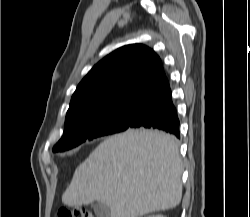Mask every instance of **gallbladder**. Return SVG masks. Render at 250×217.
<instances>
[{
    "mask_svg": "<svg viewBox=\"0 0 250 217\" xmlns=\"http://www.w3.org/2000/svg\"><path fill=\"white\" fill-rule=\"evenodd\" d=\"M91 206L96 214V217H110V209L105 204L101 202H94Z\"/></svg>",
    "mask_w": 250,
    "mask_h": 217,
    "instance_id": "obj_1",
    "label": "gallbladder"
}]
</instances>
